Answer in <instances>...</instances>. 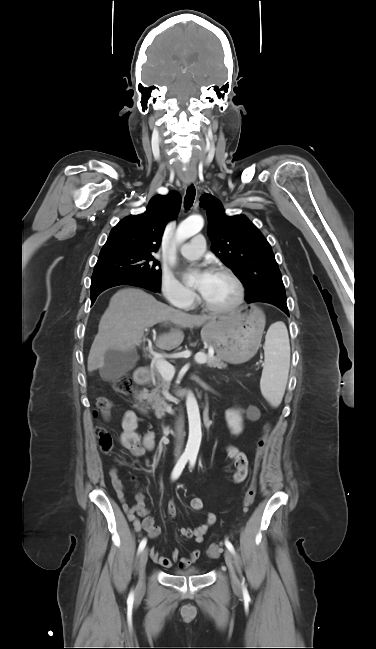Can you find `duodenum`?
<instances>
[{
    "instance_id": "1",
    "label": "duodenum",
    "mask_w": 376,
    "mask_h": 649,
    "mask_svg": "<svg viewBox=\"0 0 376 649\" xmlns=\"http://www.w3.org/2000/svg\"><path fill=\"white\" fill-rule=\"evenodd\" d=\"M148 375H149L148 368L147 367H140L134 373V382L139 386L143 385V384L146 383V381L148 379ZM186 393L187 392H186L185 389H179V390L176 391V395L178 397H184L186 395ZM134 397H135V399H138V393H137L136 390L134 391Z\"/></svg>"
}]
</instances>
